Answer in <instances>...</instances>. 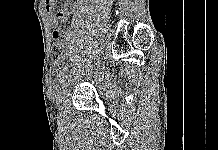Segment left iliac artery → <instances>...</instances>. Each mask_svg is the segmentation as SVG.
<instances>
[{"instance_id": "left-iliac-artery-1", "label": "left iliac artery", "mask_w": 218, "mask_h": 150, "mask_svg": "<svg viewBox=\"0 0 218 150\" xmlns=\"http://www.w3.org/2000/svg\"><path fill=\"white\" fill-rule=\"evenodd\" d=\"M63 74H64L65 76H70L72 73H71L70 71H65Z\"/></svg>"}]
</instances>
